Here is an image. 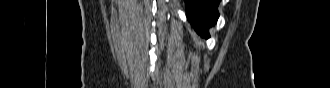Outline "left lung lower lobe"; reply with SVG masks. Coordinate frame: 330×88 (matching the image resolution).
<instances>
[{
    "label": "left lung lower lobe",
    "instance_id": "0a47b994",
    "mask_svg": "<svg viewBox=\"0 0 330 88\" xmlns=\"http://www.w3.org/2000/svg\"><path fill=\"white\" fill-rule=\"evenodd\" d=\"M186 14L195 31L208 39L209 27L213 26L218 17L220 0H185Z\"/></svg>",
    "mask_w": 330,
    "mask_h": 88
}]
</instances>
